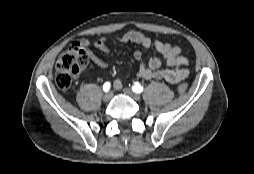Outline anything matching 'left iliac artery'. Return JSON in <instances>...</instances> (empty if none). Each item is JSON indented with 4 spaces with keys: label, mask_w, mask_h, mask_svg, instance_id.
<instances>
[{
    "label": "left iliac artery",
    "mask_w": 254,
    "mask_h": 174,
    "mask_svg": "<svg viewBox=\"0 0 254 174\" xmlns=\"http://www.w3.org/2000/svg\"><path fill=\"white\" fill-rule=\"evenodd\" d=\"M132 90L135 93H141L143 91V86H141L140 83L136 82L133 86H132Z\"/></svg>",
    "instance_id": "44dca946"
}]
</instances>
